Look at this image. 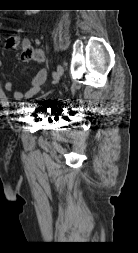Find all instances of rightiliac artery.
<instances>
[{"instance_id":"82829eb1","label":"right iliac artery","mask_w":138,"mask_h":253,"mask_svg":"<svg viewBox=\"0 0 138 253\" xmlns=\"http://www.w3.org/2000/svg\"><path fill=\"white\" fill-rule=\"evenodd\" d=\"M53 77H54L55 80H58V79H59L58 76H57V73H54V74H53Z\"/></svg>"}]
</instances>
